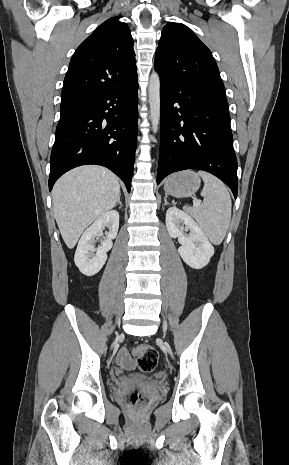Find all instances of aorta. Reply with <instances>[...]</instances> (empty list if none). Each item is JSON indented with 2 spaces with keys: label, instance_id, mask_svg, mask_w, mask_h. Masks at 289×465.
<instances>
[{
  "label": "aorta",
  "instance_id": "1",
  "mask_svg": "<svg viewBox=\"0 0 289 465\" xmlns=\"http://www.w3.org/2000/svg\"><path fill=\"white\" fill-rule=\"evenodd\" d=\"M149 105L153 133H157L160 123V76L152 72L149 80Z\"/></svg>",
  "mask_w": 289,
  "mask_h": 465
}]
</instances>
